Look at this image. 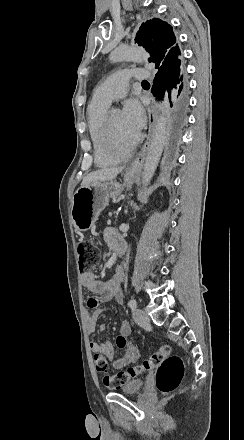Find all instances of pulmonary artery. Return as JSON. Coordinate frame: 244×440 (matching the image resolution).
<instances>
[{"mask_svg": "<svg viewBox=\"0 0 244 440\" xmlns=\"http://www.w3.org/2000/svg\"><path fill=\"white\" fill-rule=\"evenodd\" d=\"M109 76V82H101L100 90H94L92 94L93 102H104L111 104L114 100L122 98L127 89L128 76L136 78H148V69H136L128 71L126 69H113Z\"/></svg>", "mask_w": 244, "mask_h": 440, "instance_id": "e3ab8cb5", "label": "pulmonary artery"}]
</instances>
